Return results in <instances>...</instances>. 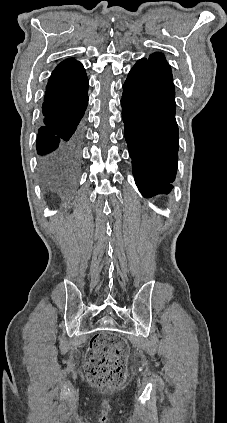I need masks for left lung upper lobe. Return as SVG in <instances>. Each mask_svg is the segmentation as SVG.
I'll use <instances>...</instances> for the list:
<instances>
[{
	"mask_svg": "<svg viewBox=\"0 0 227 423\" xmlns=\"http://www.w3.org/2000/svg\"><path fill=\"white\" fill-rule=\"evenodd\" d=\"M130 72L143 74L155 80L159 86L169 93L175 103L171 69L161 53H154L150 55L149 59L139 60Z\"/></svg>",
	"mask_w": 227,
	"mask_h": 423,
	"instance_id": "5c2ea615",
	"label": "left lung upper lobe"
}]
</instances>
